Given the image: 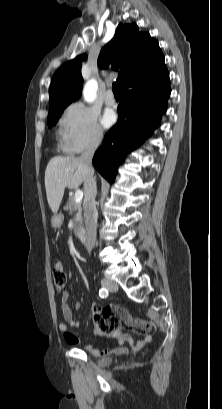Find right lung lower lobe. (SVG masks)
<instances>
[{
    "instance_id": "right-lung-lower-lobe-1",
    "label": "right lung lower lobe",
    "mask_w": 222,
    "mask_h": 409,
    "mask_svg": "<svg viewBox=\"0 0 222 409\" xmlns=\"http://www.w3.org/2000/svg\"><path fill=\"white\" fill-rule=\"evenodd\" d=\"M169 85V73L165 68L157 74L135 79L122 91L118 121L93 157L94 167L110 183L114 182L126 155L160 125L171 92Z\"/></svg>"
}]
</instances>
